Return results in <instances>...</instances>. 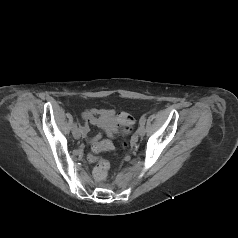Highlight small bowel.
<instances>
[{"label":"small bowel","instance_id":"obj_1","mask_svg":"<svg viewBox=\"0 0 238 238\" xmlns=\"http://www.w3.org/2000/svg\"><path fill=\"white\" fill-rule=\"evenodd\" d=\"M118 114L112 109H89L82 114L84 124L82 132L86 136L89 132V125H95L101 128L109 137H113L118 132V125L115 123V118ZM102 135L98 134L90 139L93 151H99L101 145L110 147L111 143L108 140H101ZM102 151V150H101Z\"/></svg>","mask_w":238,"mask_h":238}]
</instances>
